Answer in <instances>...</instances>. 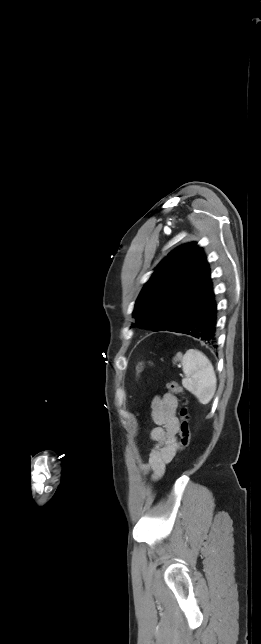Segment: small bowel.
<instances>
[{
	"label": "small bowel",
	"mask_w": 261,
	"mask_h": 644,
	"mask_svg": "<svg viewBox=\"0 0 261 644\" xmlns=\"http://www.w3.org/2000/svg\"><path fill=\"white\" fill-rule=\"evenodd\" d=\"M177 407L178 399L171 393L156 396L151 403V416L155 427L150 431V439L154 446L148 461L141 464V469L150 472L155 480L164 474L166 465L172 461L178 448Z\"/></svg>",
	"instance_id": "c3829d8e"
}]
</instances>
